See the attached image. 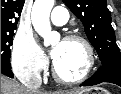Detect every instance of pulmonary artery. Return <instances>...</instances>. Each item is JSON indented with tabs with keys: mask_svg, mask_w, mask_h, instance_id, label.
I'll return each instance as SVG.
<instances>
[{
	"mask_svg": "<svg viewBox=\"0 0 121 94\" xmlns=\"http://www.w3.org/2000/svg\"><path fill=\"white\" fill-rule=\"evenodd\" d=\"M69 17L68 10L64 7L57 6L52 10L51 21L55 25H64L67 23Z\"/></svg>",
	"mask_w": 121,
	"mask_h": 94,
	"instance_id": "pulmonary-artery-1",
	"label": "pulmonary artery"
}]
</instances>
